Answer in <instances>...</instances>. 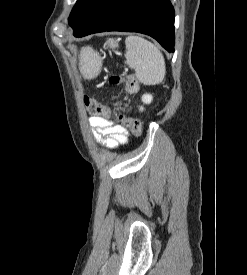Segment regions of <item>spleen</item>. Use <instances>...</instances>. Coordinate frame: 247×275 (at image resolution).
Returning <instances> with one entry per match:
<instances>
[{
	"instance_id": "1",
	"label": "spleen",
	"mask_w": 247,
	"mask_h": 275,
	"mask_svg": "<svg viewBox=\"0 0 247 275\" xmlns=\"http://www.w3.org/2000/svg\"><path fill=\"white\" fill-rule=\"evenodd\" d=\"M125 45L126 63L135 70L136 78L144 85L161 83L165 77L166 67L159 48L150 41L134 35L126 38Z\"/></svg>"
}]
</instances>
